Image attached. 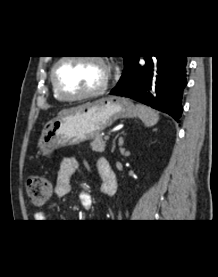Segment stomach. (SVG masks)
<instances>
[{
	"label": "stomach",
	"mask_w": 218,
	"mask_h": 277,
	"mask_svg": "<svg viewBox=\"0 0 218 277\" xmlns=\"http://www.w3.org/2000/svg\"><path fill=\"white\" fill-rule=\"evenodd\" d=\"M137 115L136 107L127 98L108 96L82 105L72 114L57 117L42 129L38 148L49 156L54 150L94 139L121 118Z\"/></svg>",
	"instance_id": "1"
}]
</instances>
